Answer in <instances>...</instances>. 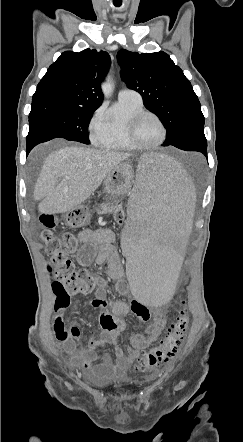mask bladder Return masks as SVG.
Here are the masks:
<instances>
[{"label":"bladder","instance_id":"obj_1","mask_svg":"<svg viewBox=\"0 0 243 442\" xmlns=\"http://www.w3.org/2000/svg\"><path fill=\"white\" fill-rule=\"evenodd\" d=\"M126 382L124 379H117L112 382V385H121Z\"/></svg>","mask_w":243,"mask_h":442}]
</instances>
